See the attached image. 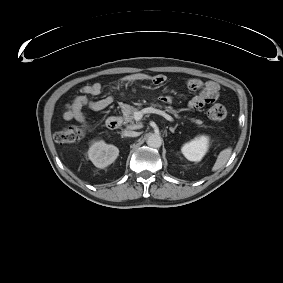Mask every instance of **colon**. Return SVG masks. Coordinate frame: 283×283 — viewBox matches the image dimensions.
<instances>
[{"label": "colon", "mask_w": 283, "mask_h": 283, "mask_svg": "<svg viewBox=\"0 0 283 283\" xmlns=\"http://www.w3.org/2000/svg\"><path fill=\"white\" fill-rule=\"evenodd\" d=\"M208 116L213 121H221L227 117V109L222 104H214L208 110ZM88 131L86 123L67 126L55 134V140L61 144H71L80 141Z\"/></svg>", "instance_id": "colon-1"}]
</instances>
